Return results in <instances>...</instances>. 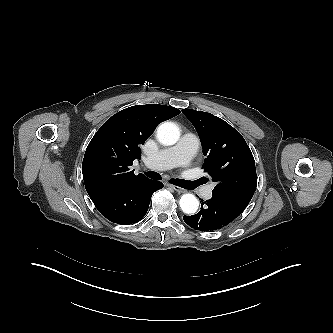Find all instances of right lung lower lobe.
<instances>
[{"mask_svg":"<svg viewBox=\"0 0 333 333\" xmlns=\"http://www.w3.org/2000/svg\"><path fill=\"white\" fill-rule=\"evenodd\" d=\"M159 181L145 179L94 203L108 220L129 225L139 222L146 214L152 194L161 189Z\"/></svg>","mask_w":333,"mask_h":333,"instance_id":"obj_1","label":"right lung lower lobe"}]
</instances>
